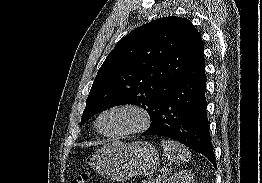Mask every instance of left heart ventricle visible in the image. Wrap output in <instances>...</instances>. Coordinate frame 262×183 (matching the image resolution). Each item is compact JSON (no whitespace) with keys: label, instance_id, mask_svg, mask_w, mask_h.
<instances>
[{"label":"left heart ventricle","instance_id":"obj_1","mask_svg":"<svg viewBox=\"0 0 262 183\" xmlns=\"http://www.w3.org/2000/svg\"><path fill=\"white\" fill-rule=\"evenodd\" d=\"M139 122L138 115L130 110H115L106 113L100 122V128L105 133H118L128 130Z\"/></svg>","mask_w":262,"mask_h":183}]
</instances>
